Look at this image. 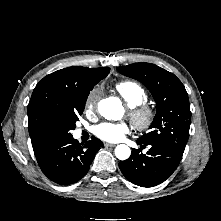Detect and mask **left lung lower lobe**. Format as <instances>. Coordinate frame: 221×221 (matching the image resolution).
Here are the masks:
<instances>
[{"label": "left lung lower lobe", "mask_w": 221, "mask_h": 221, "mask_svg": "<svg viewBox=\"0 0 221 221\" xmlns=\"http://www.w3.org/2000/svg\"><path fill=\"white\" fill-rule=\"evenodd\" d=\"M138 144L150 145L147 154L134 149L131 156L119 163L124 176L133 184L141 187L156 186L169 178L179 165L183 152L161 144H147L137 140Z\"/></svg>", "instance_id": "left-lung-lower-lobe-1"}]
</instances>
